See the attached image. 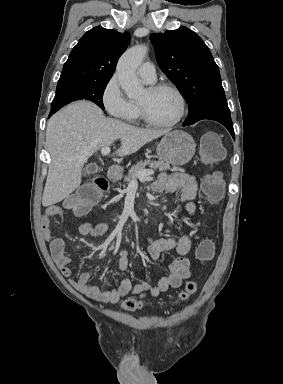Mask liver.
<instances>
[{
  "mask_svg": "<svg viewBox=\"0 0 283 384\" xmlns=\"http://www.w3.org/2000/svg\"><path fill=\"white\" fill-rule=\"evenodd\" d=\"M168 134V130H144L105 118L102 110L79 100L59 110L48 120L46 144L51 156L42 206H53L70 196L81 184V172L88 158L116 140V156H130L142 146Z\"/></svg>",
  "mask_w": 283,
  "mask_h": 384,
  "instance_id": "obj_1",
  "label": "liver"
}]
</instances>
